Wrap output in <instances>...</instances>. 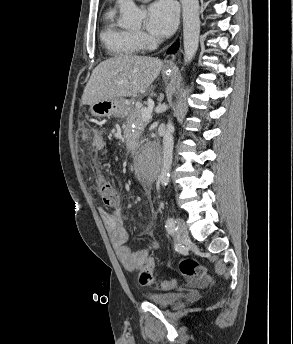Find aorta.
Instances as JSON below:
<instances>
[{
	"label": "aorta",
	"mask_w": 293,
	"mask_h": 344,
	"mask_svg": "<svg viewBox=\"0 0 293 344\" xmlns=\"http://www.w3.org/2000/svg\"><path fill=\"white\" fill-rule=\"evenodd\" d=\"M183 8V46L186 63H190L195 57L198 49L200 36L199 0H181ZM121 25L123 27H134L140 25L145 17V11L136 6L132 0H124L120 5ZM174 125L169 118L163 133L162 146V169L160 182L167 185L169 172L173 160L174 147ZM156 166L154 154L143 152L137 159V170L140 173L152 171Z\"/></svg>",
	"instance_id": "762f6f07"
}]
</instances>
